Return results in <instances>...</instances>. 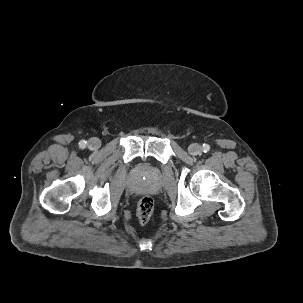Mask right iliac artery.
I'll list each match as a JSON object with an SVG mask.
<instances>
[{
    "mask_svg": "<svg viewBox=\"0 0 303 303\" xmlns=\"http://www.w3.org/2000/svg\"><path fill=\"white\" fill-rule=\"evenodd\" d=\"M79 145H80L81 148H85L86 142L85 141H80Z\"/></svg>",
    "mask_w": 303,
    "mask_h": 303,
    "instance_id": "right-iliac-artery-1",
    "label": "right iliac artery"
}]
</instances>
